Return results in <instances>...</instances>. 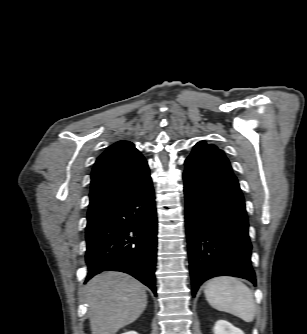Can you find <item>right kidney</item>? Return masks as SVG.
Returning <instances> with one entry per match:
<instances>
[{"instance_id": "ca27d5eb", "label": "right kidney", "mask_w": 307, "mask_h": 334, "mask_svg": "<svg viewBox=\"0 0 307 334\" xmlns=\"http://www.w3.org/2000/svg\"><path fill=\"white\" fill-rule=\"evenodd\" d=\"M121 334H138V333L135 332V331H128V332H124V333H121Z\"/></svg>"}]
</instances>
